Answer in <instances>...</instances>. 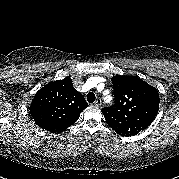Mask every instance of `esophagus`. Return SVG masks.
Segmentation results:
<instances>
[{"mask_svg": "<svg viewBox=\"0 0 179 179\" xmlns=\"http://www.w3.org/2000/svg\"><path fill=\"white\" fill-rule=\"evenodd\" d=\"M94 105L100 107L102 105V100L100 98H97L94 102Z\"/></svg>", "mask_w": 179, "mask_h": 179, "instance_id": "esophagus-1", "label": "esophagus"}]
</instances>
